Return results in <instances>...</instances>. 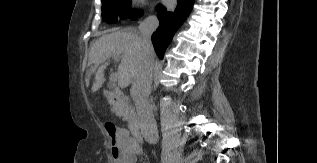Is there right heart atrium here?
Here are the masks:
<instances>
[{"label": "right heart atrium", "mask_w": 317, "mask_h": 163, "mask_svg": "<svg viewBox=\"0 0 317 163\" xmlns=\"http://www.w3.org/2000/svg\"><path fill=\"white\" fill-rule=\"evenodd\" d=\"M130 6L132 8H138L146 3V0H129Z\"/></svg>", "instance_id": "d8ad5b80"}]
</instances>
